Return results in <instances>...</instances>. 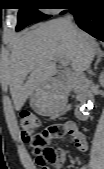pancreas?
Returning <instances> with one entry per match:
<instances>
[{
    "label": "pancreas",
    "instance_id": "cf45deb5",
    "mask_svg": "<svg viewBox=\"0 0 104 169\" xmlns=\"http://www.w3.org/2000/svg\"><path fill=\"white\" fill-rule=\"evenodd\" d=\"M67 85H68V87L70 88V87L72 86V81H71V80H68V81H67Z\"/></svg>",
    "mask_w": 104,
    "mask_h": 169
}]
</instances>
